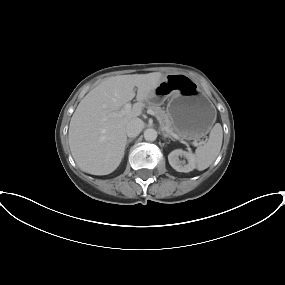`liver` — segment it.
<instances>
[{
    "mask_svg": "<svg viewBox=\"0 0 285 285\" xmlns=\"http://www.w3.org/2000/svg\"><path fill=\"white\" fill-rule=\"evenodd\" d=\"M162 79L160 72L109 77L81 100L71 118L68 137L72 156L82 171L107 175L117 169L125 152L126 126L141 115L144 101ZM135 95L137 103L121 115L122 107Z\"/></svg>",
    "mask_w": 285,
    "mask_h": 285,
    "instance_id": "1",
    "label": "liver"
}]
</instances>
